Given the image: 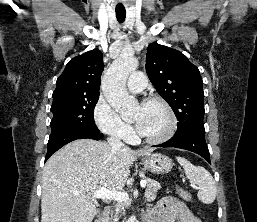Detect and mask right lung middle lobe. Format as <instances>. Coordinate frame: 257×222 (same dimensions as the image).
Segmentation results:
<instances>
[{"instance_id":"obj_1","label":"right lung middle lobe","mask_w":257,"mask_h":222,"mask_svg":"<svg viewBox=\"0 0 257 222\" xmlns=\"http://www.w3.org/2000/svg\"><path fill=\"white\" fill-rule=\"evenodd\" d=\"M99 96L84 99L54 101L51 106V135L53 139L69 132L99 133L94 121V108Z\"/></svg>"}]
</instances>
